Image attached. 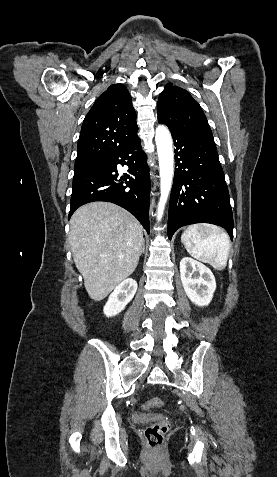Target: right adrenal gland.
<instances>
[{
  "label": "right adrenal gland",
  "mask_w": 277,
  "mask_h": 477,
  "mask_svg": "<svg viewBox=\"0 0 277 477\" xmlns=\"http://www.w3.org/2000/svg\"><path fill=\"white\" fill-rule=\"evenodd\" d=\"M144 253H145V244H144V242H143V244H142V250H141V254H144Z\"/></svg>",
  "instance_id": "right-adrenal-gland-1"
}]
</instances>
